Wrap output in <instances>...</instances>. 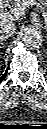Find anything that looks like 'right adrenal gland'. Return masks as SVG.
<instances>
[{
    "mask_svg": "<svg viewBox=\"0 0 47 129\" xmlns=\"http://www.w3.org/2000/svg\"><path fill=\"white\" fill-rule=\"evenodd\" d=\"M7 38H8V36H6V35H1L0 36V45L1 46L4 44V42L6 41Z\"/></svg>",
    "mask_w": 47,
    "mask_h": 129,
    "instance_id": "obj_1",
    "label": "right adrenal gland"
}]
</instances>
